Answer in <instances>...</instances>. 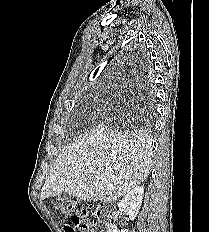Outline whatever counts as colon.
<instances>
[{
  "label": "colon",
  "mask_w": 209,
  "mask_h": 232,
  "mask_svg": "<svg viewBox=\"0 0 209 232\" xmlns=\"http://www.w3.org/2000/svg\"><path fill=\"white\" fill-rule=\"evenodd\" d=\"M92 224L86 210L71 214L70 223L65 227L66 232H92Z\"/></svg>",
  "instance_id": "colon-1"
}]
</instances>
